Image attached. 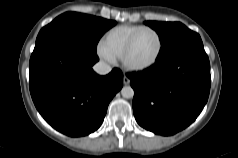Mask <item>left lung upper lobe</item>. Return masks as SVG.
<instances>
[{
    "label": "left lung upper lobe",
    "instance_id": "1",
    "mask_svg": "<svg viewBox=\"0 0 238 158\" xmlns=\"http://www.w3.org/2000/svg\"><path fill=\"white\" fill-rule=\"evenodd\" d=\"M145 24L154 29L159 35L162 47L158 57L179 45L200 38L199 34L191 31L180 22L147 21Z\"/></svg>",
    "mask_w": 238,
    "mask_h": 158
}]
</instances>
